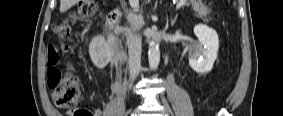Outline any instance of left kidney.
<instances>
[{
  "label": "left kidney",
  "instance_id": "5707ae66",
  "mask_svg": "<svg viewBox=\"0 0 283 116\" xmlns=\"http://www.w3.org/2000/svg\"><path fill=\"white\" fill-rule=\"evenodd\" d=\"M194 34L198 38L199 45L189 46V64L191 68L200 74L212 70L217 58L219 47L218 34L207 25L198 24L194 27Z\"/></svg>",
  "mask_w": 283,
  "mask_h": 116
}]
</instances>
